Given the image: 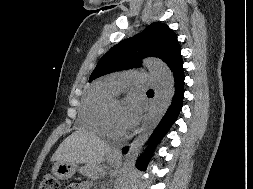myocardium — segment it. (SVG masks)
Listing matches in <instances>:
<instances>
[{
    "label": "myocardium",
    "instance_id": "obj_1",
    "mask_svg": "<svg viewBox=\"0 0 253 189\" xmlns=\"http://www.w3.org/2000/svg\"><path fill=\"white\" fill-rule=\"evenodd\" d=\"M111 101H109L104 109V114H103V124H104V129L105 132L110 135V136H114V137H126L128 136V129L125 131H117L115 130L112 125H111V121H110V106H111Z\"/></svg>",
    "mask_w": 253,
    "mask_h": 189
}]
</instances>
